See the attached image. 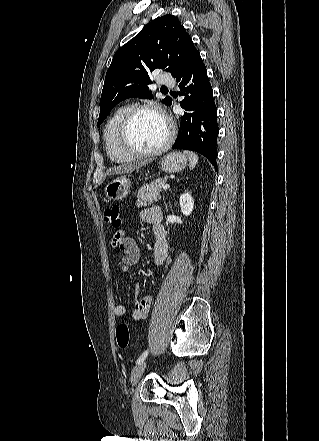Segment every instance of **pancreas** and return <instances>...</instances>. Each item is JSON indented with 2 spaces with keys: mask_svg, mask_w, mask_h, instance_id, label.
Segmentation results:
<instances>
[{
  "mask_svg": "<svg viewBox=\"0 0 319 441\" xmlns=\"http://www.w3.org/2000/svg\"><path fill=\"white\" fill-rule=\"evenodd\" d=\"M167 182V177L158 178L153 182L146 183L139 188L137 194V206L139 208L145 207L147 205H151L154 202H157L160 193L162 191L163 186Z\"/></svg>",
  "mask_w": 319,
  "mask_h": 441,
  "instance_id": "1",
  "label": "pancreas"
}]
</instances>
